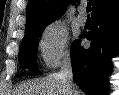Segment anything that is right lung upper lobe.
Here are the masks:
<instances>
[{
  "mask_svg": "<svg viewBox=\"0 0 119 95\" xmlns=\"http://www.w3.org/2000/svg\"><path fill=\"white\" fill-rule=\"evenodd\" d=\"M79 1V0H71ZM92 4V19L119 6V0H89ZM69 0H29L26 10L27 23L25 33L53 22L66 9Z\"/></svg>",
  "mask_w": 119,
  "mask_h": 95,
  "instance_id": "right-lung-upper-lobe-1",
  "label": "right lung upper lobe"
}]
</instances>
